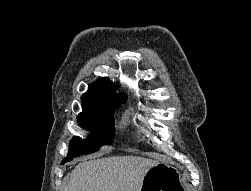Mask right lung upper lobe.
<instances>
[{"label":"right lung upper lobe","mask_w":251,"mask_h":191,"mask_svg":"<svg viewBox=\"0 0 251 191\" xmlns=\"http://www.w3.org/2000/svg\"><path fill=\"white\" fill-rule=\"evenodd\" d=\"M116 86L106 78L97 80L89 85V90L83 94L82 108L109 107L125 103L126 98L114 92ZM112 91V92H111Z\"/></svg>","instance_id":"1"}]
</instances>
